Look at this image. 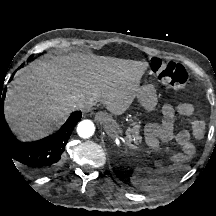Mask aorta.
<instances>
[{"label":"aorta","instance_id":"aorta-1","mask_svg":"<svg viewBox=\"0 0 216 216\" xmlns=\"http://www.w3.org/2000/svg\"><path fill=\"white\" fill-rule=\"evenodd\" d=\"M104 121L106 127L117 129L115 121L111 118L106 117ZM94 132L95 126L94 123L90 120H83L77 125V133L82 138H89L94 134Z\"/></svg>","mask_w":216,"mask_h":216}]
</instances>
